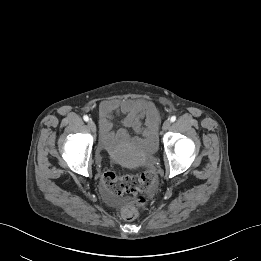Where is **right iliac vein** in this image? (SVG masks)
<instances>
[{
	"instance_id": "obj_1",
	"label": "right iliac vein",
	"mask_w": 261,
	"mask_h": 261,
	"mask_svg": "<svg viewBox=\"0 0 261 261\" xmlns=\"http://www.w3.org/2000/svg\"><path fill=\"white\" fill-rule=\"evenodd\" d=\"M88 127L90 128V130H91L92 132H95V131H96V124H95V122H94L93 120H89V122H88Z\"/></svg>"
}]
</instances>
